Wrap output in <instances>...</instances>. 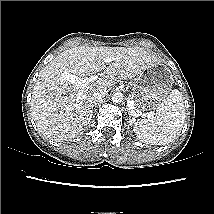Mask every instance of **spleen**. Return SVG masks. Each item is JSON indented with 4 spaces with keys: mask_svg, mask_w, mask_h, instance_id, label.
<instances>
[{
    "mask_svg": "<svg viewBox=\"0 0 214 214\" xmlns=\"http://www.w3.org/2000/svg\"><path fill=\"white\" fill-rule=\"evenodd\" d=\"M185 121V108L181 93L174 89L156 109L134 123L136 137L151 145L170 143L181 132Z\"/></svg>",
    "mask_w": 214,
    "mask_h": 214,
    "instance_id": "3e777b00",
    "label": "spleen"
}]
</instances>
